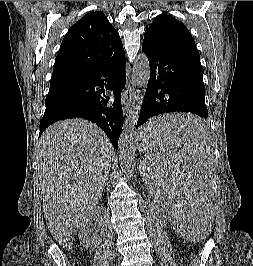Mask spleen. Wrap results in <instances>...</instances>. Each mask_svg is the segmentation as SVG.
I'll return each mask as SVG.
<instances>
[{"label":"spleen","mask_w":253,"mask_h":266,"mask_svg":"<svg viewBox=\"0 0 253 266\" xmlns=\"http://www.w3.org/2000/svg\"><path fill=\"white\" fill-rule=\"evenodd\" d=\"M205 115L200 111H164L144 123L139 159L144 187L162 204L185 242H204L214 235L208 199L214 166L213 141H207Z\"/></svg>","instance_id":"obj_1"}]
</instances>
